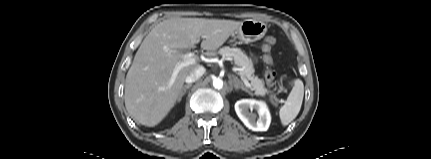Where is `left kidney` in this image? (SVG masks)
I'll return each mask as SVG.
<instances>
[{
  "label": "left kidney",
  "instance_id": "5707ae66",
  "mask_svg": "<svg viewBox=\"0 0 431 159\" xmlns=\"http://www.w3.org/2000/svg\"><path fill=\"white\" fill-rule=\"evenodd\" d=\"M251 110V112L249 111ZM255 110L258 114L253 113ZM235 111L246 127L253 131H266L271 122L270 112L263 101L242 99L235 103Z\"/></svg>",
  "mask_w": 431,
  "mask_h": 159
}]
</instances>
